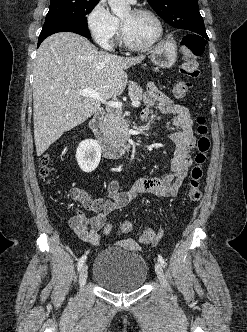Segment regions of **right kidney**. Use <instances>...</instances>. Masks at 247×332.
<instances>
[{
  "mask_svg": "<svg viewBox=\"0 0 247 332\" xmlns=\"http://www.w3.org/2000/svg\"><path fill=\"white\" fill-rule=\"evenodd\" d=\"M76 160L80 169L86 173L94 171L101 160V147L96 140L82 141L76 150Z\"/></svg>",
  "mask_w": 247,
  "mask_h": 332,
  "instance_id": "ca27d5eb",
  "label": "right kidney"
}]
</instances>
